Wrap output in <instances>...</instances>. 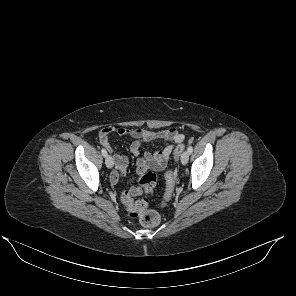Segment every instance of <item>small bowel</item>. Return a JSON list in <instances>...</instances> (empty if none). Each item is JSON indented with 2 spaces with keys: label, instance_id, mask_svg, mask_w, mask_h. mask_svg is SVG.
Returning a JSON list of instances; mask_svg holds the SVG:
<instances>
[{
  "label": "small bowel",
  "instance_id": "obj_1",
  "mask_svg": "<svg viewBox=\"0 0 296 296\" xmlns=\"http://www.w3.org/2000/svg\"><path fill=\"white\" fill-rule=\"evenodd\" d=\"M116 134L119 136H126L134 139L130 146L133 155L139 158L136 161V168L138 175L142 176L146 171H161L167 165L170 155L174 149V145L181 143L184 140V135L177 128H167L160 131H151L147 129H130V128H113L105 127L99 131L98 137L100 144L109 152H113L110 143V136ZM157 140L172 142L163 149L149 151L143 150L144 143H152ZM113 160L115 162V170L111 174V183L117 184L122 179L127 170L129 161L128 158L114 154ZM126 193L131 197L137 196L141 193L139 187H132Z\"/></svg>",
  "mask_w": 296,
  "mask_h": 296
}]
</instances>
